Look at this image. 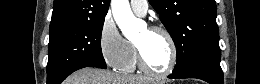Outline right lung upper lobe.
Segmentation results:
<instances>
[{
	"mask_svg": "<svg viewBox=\"0 0 260 84\" xmlns=\"http://www.w3.org/2000/svg\"><path fill=\"white\" fill-rule=\"evenodd\" d=\"M109 4L110 0H54L50 32L105 18Z\"/></svg>",
	"mask_w": 260,
	"mask_h": 84,
	"instance_id": "cb5924a9",
	"label": "right lung upper lobe"
}]
</instances>
